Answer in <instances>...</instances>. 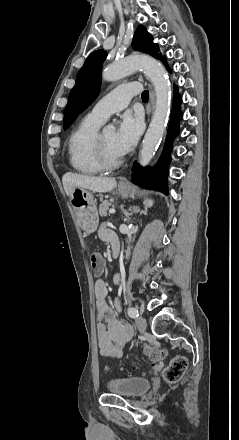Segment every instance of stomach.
I'll return each mask as SVG.
<instances>
[{
	"label": "stomach",
	"instance_id": "obj_1",
	"mask_svg": "<svg viewBox=\"0 0 239 440\" xmlns=\"http://www.w3.org/2000/svg\"><path fill=\"white\" fill-rule=\"evenodd\" d=\"M118 192L122 198H133L135 188H118ZM70 202L81 230L86 232V234L96 232L99 218L91 192H89V190H83V188H76V190L71 192Z\"/></svg>",
	"mask_w": 239,
	"mask_h": 440
}]
</instances>
